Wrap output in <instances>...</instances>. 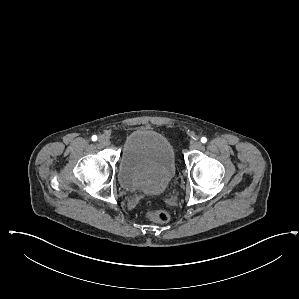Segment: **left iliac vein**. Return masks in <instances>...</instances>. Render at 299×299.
<instances>
[{"label": "left iliac vein", "instance_id": "4c4485c4", "mask_svg": "<svg viewBox=\"0 0 299 299\" xmlns=\"http://www.w3.org/2000/svg\"><path fill=\"white\" fill-rule=\"evenodd\" d=\"M202 147V144L200 141L198 140H194L190 143V149L191 150H197L200 149Z\"/></svg>", "mask_w": 299, "mask_h": 299}]
</instances>
